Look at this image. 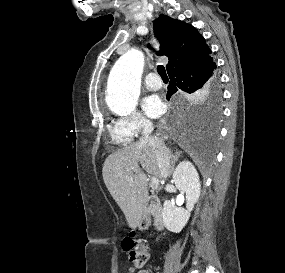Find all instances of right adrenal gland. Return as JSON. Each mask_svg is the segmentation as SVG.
<instances>
[{
    "instance_id": "right-adrenal-gland-1",
    "label": "right adrenal gland",
    "mask_w": 285,
    "mask_h": 273,
    "mask_svg": "<svg viewBox=\"0 0 285 273\" xmlns=\"http://www.w3.org/2000/svg\"><path fill=\"white\" fill-rule=\"evenodd\" d=\"M182 155L181 151H175V153L173 154V152H170V157H171V169H170V175L173 174L174 172V167H175V163L178 160V158Z\"/></svg>"
}]
</instances>
